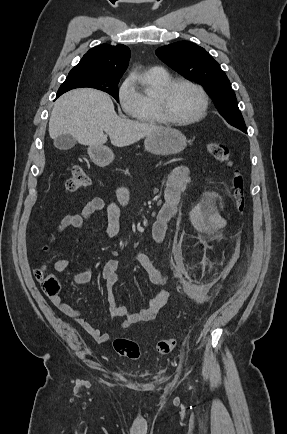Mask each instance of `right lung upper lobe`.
<instances>
[{
	"label": "right lung upper lobe",
	"instance_id": "1",
	"mask_svg": "<svg viewBox=\"0 0 287 434\" xmlns=\"http://www.w3.org/2000/svg\"><path fill=\"white\" fill-rule=\"evenodd\" d=\"M129 59L130 51L127 46L102 44L91 48L70 72L112 79L121 78L128 67Z\"/></svg>",
	"mask_w": 287,
	"mask_h": 434
}]
</instances>
